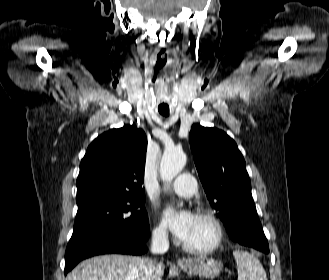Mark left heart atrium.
Returning <instances> with one entry per match:
<instances>
[{
    "label": "left heart atrium",
    "mask_w": 329,
    "mask_h": 280,
    "mask_svg": "<svg viewBox=\"0 0 329 280\" xmlns=\"http://www.w3.org/2000/svg\"><path fill=\"white\" fill-rule=\"evenodd\" d=\"M163 219L174 235L185 241L194 224L195 215L190 210H178L169 206L163 212Z\"/></svg>",
    "instance_id": "obj_1"
}]
</instances>
